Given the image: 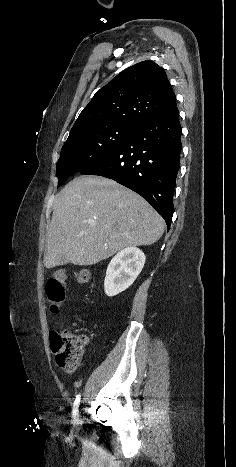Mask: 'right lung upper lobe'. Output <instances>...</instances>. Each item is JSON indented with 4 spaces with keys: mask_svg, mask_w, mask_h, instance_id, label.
Segmentation results:
<instances>
[{
    "mask_svg": "<svg viewBox=\"0 0 236 467\" xmlns=\"http://www.w3.org/2000/svg\"><path fill=\"white\" fill-rule=\"evenodd\" d=\"M175 107L176 96L164 70L152 61H142L95 93L70 134L111 125L138 129Z\"/></svg>",
    "mask_w": 236,
    "mask_h": 467,
    "instance_id": "cb5924a9",
    "label": "right lung upper lobe"
}]
</instances>
